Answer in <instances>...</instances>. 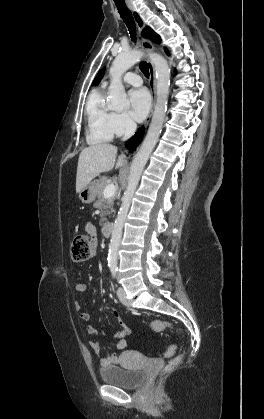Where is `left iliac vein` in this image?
I'll return each mask as SVG.
<instances>
[{
    "mask_svg": "<svg viewBox=\"0 0 264 419\" xmlns=\"http://www.w3.org/2000/svg\"><path fill=\"white\" fill-rule=\"evenodd\" d=\"M117 296L120 300V302L126 306H128V300L126 298V293L122 287H119L117 290Z\"/></svg>",
    "mask_w": 264,
    "mask_h": 419,
    "instance_id": "1",
    "label": "left iliac vein"
}]
</instances>
